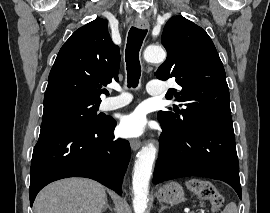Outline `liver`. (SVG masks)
<instances>
[{
	"label": "liver",
	"instance_id": "obj_1",
	"mask_svg": "<svg viewBox=\"0 0 270 213\" xmlns=\"http://www.w3.org/2000/svg\"><path fill=\"white\" fill-rule=\"evenodd\" d=\"M104 187L89 179L70 178L45 187L34 202L35 213H101Z\"/></svg>",
	"mask_w": 270,
	"mask_h": 213
}]
</instances>
